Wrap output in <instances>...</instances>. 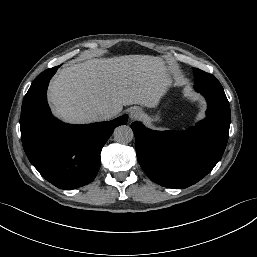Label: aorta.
<instances>
[{
	"mask_svg": "<svg viewBox=\"0 0 257 257\" xmlns=\"http://www.w3.org/2000/svg\"><path fill=\"white\" fill-rule=\"evenodd\" d=\"M114 139L121 144H127L134 138L132 129L127 125L118 126L114 130Z\"/></svg>",
	"mask_w": 257,
	"mask_h": 257,
	"instance_id": "aorta-1",
	"label": "aorta"
}]
</instances>
